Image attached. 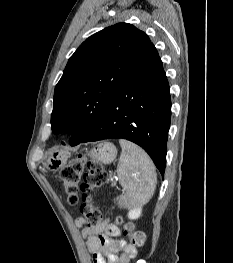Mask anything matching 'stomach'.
<instances>
[{
	"mask_svg": "<svg viewBox=\"0 0 233 263\" xmlns=\"http://www.w3.org/2000/svg\"><path fill=\"white\" fill-rule=\"evenodd\" d=\"M117 155L116 147L109 142L100 143L96 148L90 151V156L92 159L102 162L104 164L111 163ZM68 159V155L59 148H52L49 150L46 156L44 165L52 170H58L65 166Z\"/></svg>",
	"mask_w": 233,
	"mask_h": 263,
	"instance_id": "stomach-1",
	"label": "stomach"
}]
</instances>
